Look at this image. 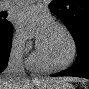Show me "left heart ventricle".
I'll list each match as a JSON object with an SVG mask.
<instances>
[{
	"label": "left heart ventricle",
	"instance_id": "obj_1",
	"mask_svg": "<svg viewBox=\"0 0 89 89\" xmlns=\"http://www.w3.org/2000/svg\"><path fill=\"white\" fill-rule=\"evenodd\" d=\"M39 43L44 57L50 63L61 64L70 57V42L65 33L54 25Z\"/></svg>",
	"mask_w": 89,
	"mask_h": 89
}]
</instances>
